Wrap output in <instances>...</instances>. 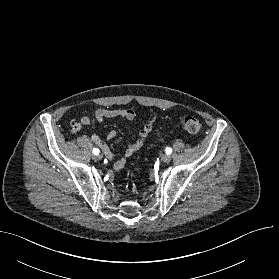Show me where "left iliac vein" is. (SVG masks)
I'll use <instances>...</instances> for the list:
<instances>
[{"mask_svg": "<svg viewBox=\"0 0 279 279\" xmlns=\"http://www.w3.org/2000/svg\"><path fill=\"white\" fill-rule=\"evenodd\" d=\"M161 160L165 163H168L171 161V156L168 154H163V155H161Z\"/></svg>", "mask_w": 279, "mask_h": 279, "instance_id": "1", "label": "left iliac vein"}]
</instances>
